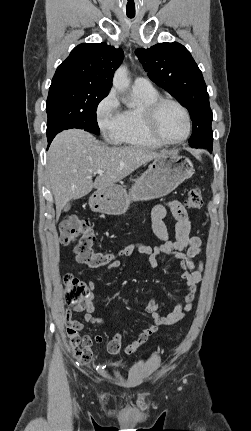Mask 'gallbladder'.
I'll use <instances>...</instances> for the list:
<instances>
[{
  "label": "gallbladder",
  "mask_w": 251,
  "mask_h": 431,
  "mask_svg": "<svg viewBox=\"0 0 251 431\" xmlns=\"http://www.w3.org/2000/svg\"><path fill=\"white\" fill-rule=\"evenodd\" d=\"M71 205L68 203L65 207H64V211L67 212L70 209Z\"/></svg>",
  "instance_id": "bac80fb5"
}]
</instances>
